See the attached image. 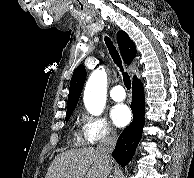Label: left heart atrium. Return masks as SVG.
Returning <instances> with one entry per match:
<instances>
[{"label": "left heart atrium", "instance_id": "1", "mask_svg": "<svg viewBox=\"0 0 194 178\" xmlns=\"http://www.w3.org/2000/svg\"><path fill=\"white\" fill-rule=\"evenodd\" d=\"M110 116L117 127H124L131 120V111L126 105L118 104L111 109Z\"/></svg>", "mask_w": 194, "mask_h": 178}]
</instances>
